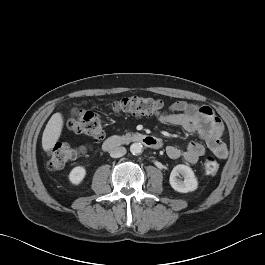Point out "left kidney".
Segmentation results:
<instances>
[{
  "label": "left kidney",
  "mask_w": 265,
  "mask_h": 265,
  "mask_svg": "<svg viewBox=\"0 0 265 265\" xmlns=\"http://www.w3.org/2000/svg\"><path fill=\"white\" fill-rule=\"evenodd\" d=\"M179 175L184 177V180L178 179L177 177ZM169 182L175 191L181 193L195 191L198 187V181L193 170L189 166L183 164L176 165L173 168Z\"/></svg>",
  "instance_id": "obj_1"
}]
</instances>
